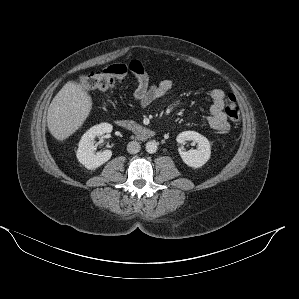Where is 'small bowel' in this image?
Wrapping results in <instances>:
<instances>
[{
  "instance_id": "c3829d8e",
  "label": "small bowel",
  "mask_w": 299,
  "mask_h": 299,
  "mask_svg": "<svg viewBox=\"0 0 299 299\" xmlns=\"http://www.w3.org/2000/svg\"><path fill=\"white\" fill-rule=\"evenodd\" d=\"M128 69L134 74L137 80L133 99L139 107L148 106L152 102L162 98L172 88V82L167 79L157 83H150L148 74L142 64L137 60L131 61ZM209 95L211 105L210 114L207 118L208 124L216 132H225L229 129V123L224 113L225 92L221 89H213Z\"/></svg>"
}]
</instances>
